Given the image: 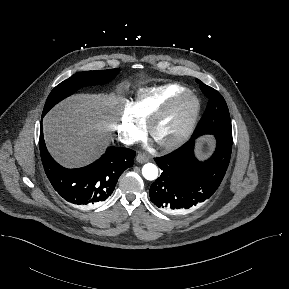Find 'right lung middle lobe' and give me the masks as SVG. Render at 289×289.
<instances>
[{"label":"right lung middle lobe","instance_id":"obj_1","mask_svg":"<svg viewBox=\"0 0 289 289\" xmlns=\"http://www.w3.org/2000/svg\"><path fill=\"white\" fill-rule=\"evenodd\" d=\"M119 69L86 71L77 73L57 85L48 96L42 115L44 116L55 104L72 95L79 88L89 85L105 84L111 81Z\"/></svg>","mask_w":289,"mask_h":289}]
</instances>
